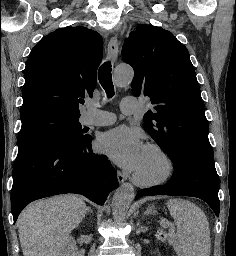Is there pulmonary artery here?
Segmentation results:
<instances>
[{
    "label": "pulmonary artery",
    "instance_id": "1",
    "mask_svg": "<svg viewBox=\"0 0 236 256\" xmlns=\"http://www.w3.org/2000/svg\"><path fill=\"white\" fill-rule=\"evenodd\" d=\"M136 96H125V101L122 102L123 107L121 106V111L123 115H134L136 109ZM109 117L96 119V120H87L86 125L92 126H107L115 122V116L112 113H108Z\"/></svg>",
    "mask_w": 236,
    "mask_h": 256
}]
</instances>
